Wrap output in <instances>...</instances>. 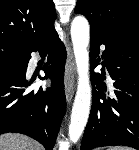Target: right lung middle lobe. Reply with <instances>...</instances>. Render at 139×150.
Here are the masks:
<instances>
[{"instance_id":"right-lung-middle-lobe-1","label":"right lung middle lobe","mask_w":139,"mask_h":150,"mask_svg":"<svg viewBox=\"0 0 139 150\" xmlns=\"http://www.w3.org/2000/svg\"><path fill=\"white\" fill-rule=\"evenodd\" d=\"M23 51L7 45H0V59L19 57Z\"/></svg>"}]
</instances>
